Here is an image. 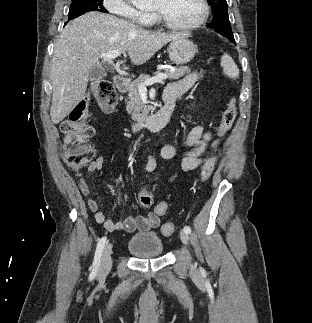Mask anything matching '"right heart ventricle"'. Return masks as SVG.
I'll return each mask as SVG.
<instances>
[{
  "label": "right heart ventricle",
  "instance_id": "obj_1",
  "mask_svg": "<svg viewBox=\"0 0 312 323\" xmlns=\"http://www.w3.org/2000/svg\"><path fill=\"white\" fill-rule=\"evenodd\" d=\"M145 20H155V13H145Z\"/></svg>",
  "mask_w": 312,
  "mask_h": 323
}]
</instances>
